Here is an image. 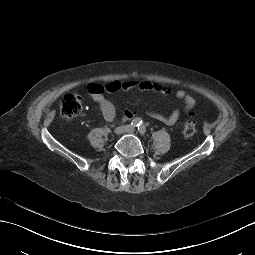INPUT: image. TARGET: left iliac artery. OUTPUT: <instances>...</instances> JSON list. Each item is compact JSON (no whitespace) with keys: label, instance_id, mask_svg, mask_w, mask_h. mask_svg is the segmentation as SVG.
<instances>
[{"label":"left iliac artery","instance_id":"obj_1","mask_svg":"<svg viewBox=\"0 0 255 255\" xmlns=\"http://www.w3.org/2000/svg\"><path fill=\"white\" fill-rule=\"evenodd\" d=\"M138 131L141 135H144L146 133V126L143 123H141L138 127Z\"/></svg>","mask_w":255,"mask_h":255}]
</instances>
